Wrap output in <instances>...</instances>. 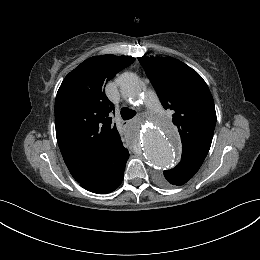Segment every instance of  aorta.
I'll return each instance as SVG.
<instances>
[{
  "instance_id": "762f6f07",
  "label": "aorta",
  "mask_w": 260,
  "mask_h": 260,
  "mask_svg": "<svg viewBox=\"0 0 260 260\" xmlns=\"http://www.w3.org/2000/svg\"><path fill=\"white\" fill-rule=\"evenodd\" d=\"M121 94L135 103L144 89L143 81L133 73H125L119 81ZM145 160L158 170L169 169L177 161L179 137L175 128L167 123L152 122L138 132Z\"/></svg>"
}]
</instances>
